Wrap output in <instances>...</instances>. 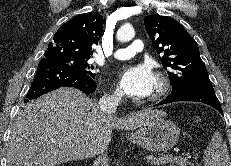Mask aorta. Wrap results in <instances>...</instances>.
Wrapping results in <instances>:
<instances>
[{"instance_id":"aorta-1","label":"aorta","mask_w":231,"mask_h":166,"mask_svg":"<svg viewBox=\"0 0 231 166\" xmlns=\"http://www.w3.org/2000/svg\"><path fill=\"white\" fill-rule=\"evenodd\" d=\"M135 36V31L132 25L125 24L117 31V40L120 42H127L133 39Z\"/></svg>"}]
</instances>
